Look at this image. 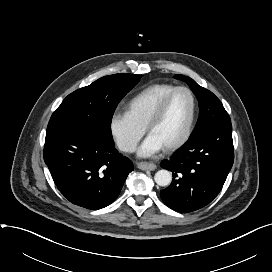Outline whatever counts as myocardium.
<instances>
[{"instance_id":"f54148a6","label":"myocardium","mask_w":272,"mask_h":272,"mask_svg":"<svg viewBox=\"0 0 272 272\" xmlns=\"http://www.w3.org/2000/svg\"><path fill=\"white\" fill-rule=\"evenodd\" d=\"M178 92H186L190 96L192 101V111H191V116H190V119L184 134L176 142L164 147V150L167 152H172L181 148L190 139L194 131L195 124L197 121V115H198V102L193 91L190 88L185 86H178L174 88L172 91L166 94L163 97V99L159 102V104L157 105L153 113L151 114L146 125V130L148 133H150L151 129L159 122V120L164 115L166 108L169 102L171 101V99L173 98V96L177 94Z\"/></svg>"}]
</instances>
